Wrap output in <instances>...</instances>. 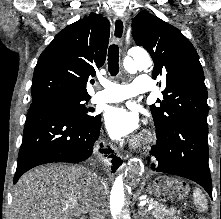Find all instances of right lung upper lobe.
<instances>
[{
  "mask_svg": "<svg viewBox=\"0 0 221 219\" xmlns=\"http://www.w3.org/2000/svg\"><path fill=\"white\" fill-rule=\"evenodd\" d=\"M109 35L108 19L96 13L59 32L38 59L33 74L32 102L90 98L86 84L105 62Z\"/></svg>",
  "mask_w": 221,
  "mask_h": 219,
  "instance_id": "1",
  "label": "right lung upper lobe"
}]
</instances>
